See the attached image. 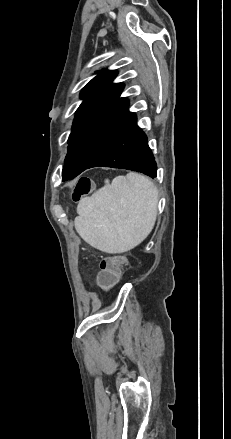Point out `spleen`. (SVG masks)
Masks as SVG:
<instances>
[{
	"label": "spleen",
	"mask_w": 231,
	"mask_h": 439,
	"mask_svg": "<svg viewBox=\"0 0 231 439\" xmlns=\"http://www.w3.org/2000/svg\"><path fill=\"white\" fill-rule=\"evenodd\" d=\"M158 191L145 176H118L78 206L75 228L91 246L107 253H123L140 244L152 231Z\"/></svg>",
	"instance_id": "spleen-1"
}]
</instances>
